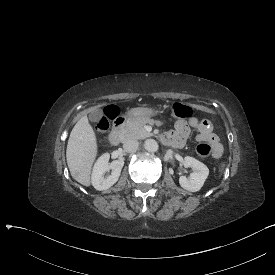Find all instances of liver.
<instances>
[{"instance_id":"liver-1","label":"liver","mask_w":275,"mask_h":275,"mask_svg":"<svg viewBox=\"0 0 275 275\" xmlns=\"http://www.w3.org/2000/svg\"><path fill=\"white\" fill-rule=\"evenodd\" d=\"M96 154L95 133L87 116H83L73 127L66 150V159L71 175L82 185H90L91 168ZM76 173H78L77 176H75Z\"/></svg>"}]
</instances>
